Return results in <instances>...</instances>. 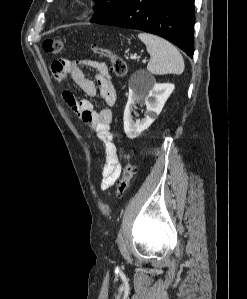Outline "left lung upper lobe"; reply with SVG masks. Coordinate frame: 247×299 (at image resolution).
I'll return each instance as SVG.
<instances>
[{"mask_svg": "<svg viewBox=\"0 0 247 299\" xmlns=\"http://www.w3.org/2000/svg\"><path fill=\"white\" fill-rule=\"evenodd\" d=\"M122 0H96L95 14L90 20L91 23L105 17L111 13Z\"/></svg>", "mask_w": 247, "mask_h": 299, "instance_id": "1", "label": "left lung upper lobe"}]
</instances>
